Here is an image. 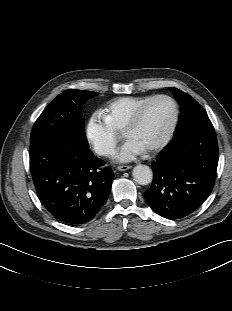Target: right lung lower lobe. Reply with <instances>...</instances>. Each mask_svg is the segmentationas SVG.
<instances>
[{
	"label": "right lung lower lobe",
	"mask_w": 232,
	"mask_h": 311,
	"mask_svg": "<svg viewBox=\"0 0 232 311\" xmlns=\"http://www.w3.org/2000/svg\"><path fill=\"white\" fill-rule=\"evenodd\" d=\"M103 165L88 148L66 136L30 143V169L38 197L66 224L92 220L106 202L114 176Z\"/></svg>",
	"instance_id": "98d812e1"
}]
</instances>
